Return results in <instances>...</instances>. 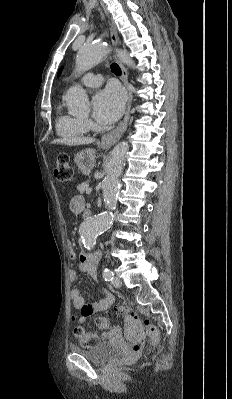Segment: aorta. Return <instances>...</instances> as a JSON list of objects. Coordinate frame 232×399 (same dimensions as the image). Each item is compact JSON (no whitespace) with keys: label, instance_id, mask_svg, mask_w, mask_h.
<instances>
[{"label":"aorta","instance_id":"obj_1","mask_svg":"<svg viewBox=\"0 0 232 399\" xmlns=\"http://www.w3.org/2000/svg\"><path fill=\"white\" fill-rule=\"evenodd\" d=\"M109 49L102 43H95L82 47L76 55V70L80 73L85 72L95 65L108 54ZM119 59L128 66L133 65V60L127 51L117 52ZM68 107L75 112L84 111L89 107V100L86 91L79 85L72 86L64 96ZM128 142L123 141L117 144L112 152L107 164L106 176L102 182L103 197L107 211L89 217L80 225V234L83 239L84 247L91 249L96 244L98 235L107 231L114 219L113 211L116 209L119 177L122 174L126 154L128 152Z\"/></svg>","mask_w":232,"mask_h":399}]
</instances>
